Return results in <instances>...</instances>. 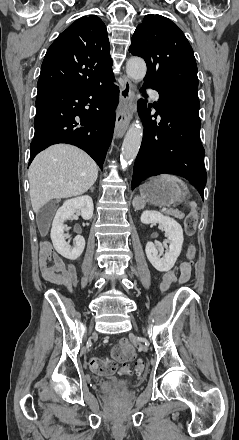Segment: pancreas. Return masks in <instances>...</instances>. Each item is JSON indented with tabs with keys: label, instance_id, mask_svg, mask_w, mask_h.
Instances as JSON below:
<instances>
[{
	"label": "pancreas",
	"instance_id": "obj_1",
	"mask_svg": "<svg viewBox=\"0 0 239 440\" xmlns=\"http://www.w3.org/2000/svg\"><path fill=\"white\" fill-rule=\"evenodd\" d=\"M168 214H170V216H175V218H178V220H182V218L185 216V214H181L179 210H169Z\"/></svg>",
	"mask_w": 239,
	"mask_h": 440
}]
</instances>
